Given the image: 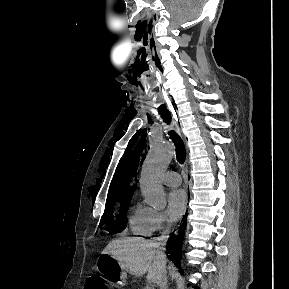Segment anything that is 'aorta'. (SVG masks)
<instances>
[{
    "mask_svg": "<svg viewBox=\"0 0 289 289\" xmlns=\"http://www.w3.org/2000/svg\"><path fill=\"white\" fill-rule=\"evenodd\" d=\"M173 158V149L164 139L151 142L149 153L143 162L140 178L141 192L148 205L163 208L166 205V193L160 176L168 168Z\"/></svg>",
    "mask_w": 289,
    "mask_h": 289,
    "instance_id": "1",
    "label": "aorta"
}]
</instances>
